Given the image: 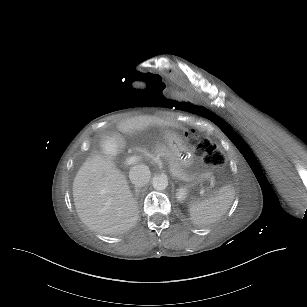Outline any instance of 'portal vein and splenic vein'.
I'll use <instances>...</instances> for the list:
<instances>
[{
    "label": "portal vein and splenic vein",
    "instance_id": "1",
    "mask_svg": "<svg viewBox=\"0 0 307 307\" xmlns=\"http://www.w3.org/2000/svg\"><path fill=\"white\" fill-rule=\"evenodd\" d=\"M139 162V157L137 155H132V156H128L126 158V163L128 165H134V164H137ZM198 189H199V192L203 195L205 192L203 190V186L202 184L200 183L198 185Z\"/></svg>",
    "mask_w": 307,
    "mask_h": 307
}]
</instances>
